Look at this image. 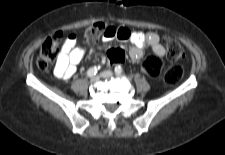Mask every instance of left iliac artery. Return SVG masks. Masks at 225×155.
<instances>
[{"instance_id":"1","label":"left iliac artery","mask_w":225,"mask_h":155,"mask_svg":"<svg viewBox=\"0 0 225 155\" xmlns=\"http://www.w3.org/2000/svg\"><path fill=\"white\" fill-rule=\"evenodd\" d=\"M114 71L116 75H121L123 73V68L120 65H118L115 67Z\"/></svg>"}]
</instances>
